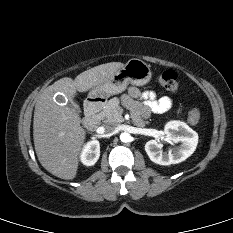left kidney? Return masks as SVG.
Here are the masks:
<instances>
[{"label": "left kidney", "mask_w": 233, "mask_h": 233, "mask_svg": "<svg viewBox=\"0 0 233 233\" xmlns=\"http://www.w3.org/2000/svg\"><path fill=\"white\" fill-rule=\"evenodd\" d=\"M165 141L168 143H178L179 147L167 152L161 149L163 144L156 140H150L145 144V151L150 160L159 165L177 164L190 157L198 144V134L186 123L181 121H170L164 128Z\"/></svg>", "instance_id": "obj_1"}]
</instances>
